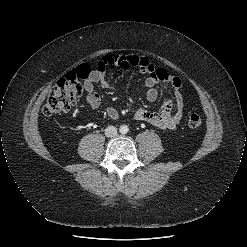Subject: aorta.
<instances>
[{
    "instance_id": "aorta-1",
    "label": "aorta",
    "mask_w": 247,
    "mask_h": 247,
    "mask_svg": "<svg viewBox=\"0 0 247 247\" xmlns=\"http://www.w3.org/2000/svg\"><path fill=\"white\" fill-rule=\"evenodd\" d=\"M119 131L121 134H126V133H128L129 128L127 125H121Z\"/></svg>"
}]
</instances>
